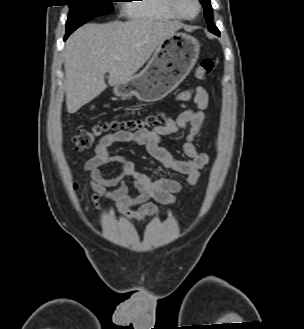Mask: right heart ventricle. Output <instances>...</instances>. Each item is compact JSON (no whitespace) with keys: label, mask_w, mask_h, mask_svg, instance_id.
<instances>
[{"label":"right heart ventricle","mask_w":304,"mask_h":329,"mask_svg":"<svg viewBox=\"0 0 304 329\" xmlns=\"http://www.w3.org/2000/svg\"><path fill=\"white\" fill-rule=\"evenodd\" d=\"M125 8L129 16L133 19L158 21L176 19L167 8L165 0H131L130 3L125 4Z\"/></svg>","instance_id":"right-heart-ventricle-1"}]
</instances>
